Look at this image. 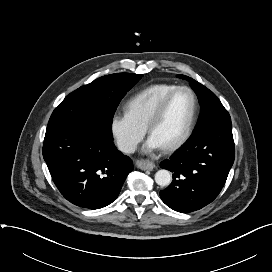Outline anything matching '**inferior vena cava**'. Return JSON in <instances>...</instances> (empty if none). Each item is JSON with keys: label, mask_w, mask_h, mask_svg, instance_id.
<instances>
[{"label": "inferior vena cava", "mask_w": 272, "mask_h": 272, "mask_svg": "<svg viewBox=\"0 0 272 272\" xmlns=\"http://www.w3.org/2000/svg\"><path fill=\"white\" fill-rule=\"evenodd\" d=\"M119 149L125 153H134L136 150V144L131 142L120 143Z\"/></svg>", "instance_id": "602c4592"}]
</instances>
